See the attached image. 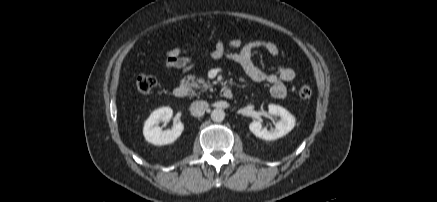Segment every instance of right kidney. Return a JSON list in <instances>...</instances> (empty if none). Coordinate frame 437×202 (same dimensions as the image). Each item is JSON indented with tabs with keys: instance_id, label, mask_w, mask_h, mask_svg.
Wrapping results in <instances>:
<instances>
[{
	"instance_id": "1",
	"label": "right kidney",
	"mask_w": 437,
	"mask_h": 202,
	"mask_svg": "<svg viewBox=\"0 0 437 202\" xmlns=\"http://www.w3.org/2000/svg\"><path fill=\"white\" fill-rule=\"evenodd\" d=\"M173 110L169 107L159 108L151 113L143 128L145 139L154 145H167L173 143L182 133L184 125L181 121L175 122L172 129L162 130L158 124L169 121Z\"/></svg>"
}]
</instances>
